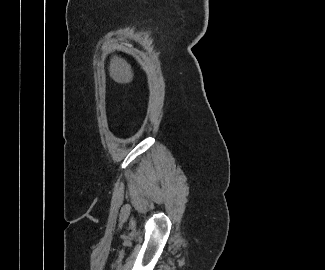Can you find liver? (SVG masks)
<instances>
[{
	"instance_id": "1",
	"label": "liver",
	"mask_w": 325,
	"mask_h": 270,
	"mask_svg": "<svg viewBox=\"0 0 325 270\" xmlns=\"http://www.w3.org/2000/svg\"><path fill=\"white\" fill-rule=\"evenodd\" d=\"M110 77L117 83L127 84L133 80L131 65L121 57L113 56L109 65Z\"/></svg>"
}]
</instances>
